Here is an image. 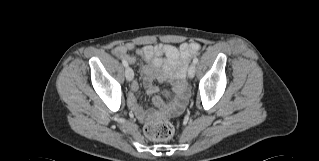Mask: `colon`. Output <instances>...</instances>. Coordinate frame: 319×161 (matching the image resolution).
Masks as SVG:
<instances>
[{"mask_svg": "<svg viewBox=\"0 0 319 161\" xmlns=\"http://www.w3.org/2000/svg\"><path fill=\"white\" fill-rule=\"evenodd\" d=\"M144 133L151 140H168L174 134V127L168 120L159 119L148 123Z\"/></svg>", "mask_w": 319, "mask_h": 161, "instance_id": "colon-1", "label": "colon"}]
</instances>
